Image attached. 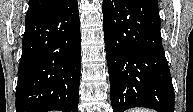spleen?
Returning a JSON list of instances; mask_svg holds the SVG:
<instances>
[{"instance_id": "1", "label": "spleen", "mask_w": 193, "mask_h": 112, "mask_svg": "<svg viewBox=\"0 0 193 112\" xmlns=\"http://www.w3.org/2000/svg\"><path fill=\"white\" fill-rule=\"evenodd\" d=\"M130 112H152V111L149 109L139 108V109H132Z\"/></svg>"}]
</instances>
